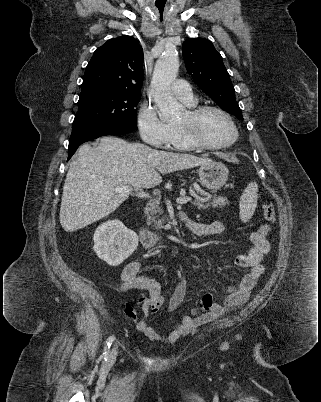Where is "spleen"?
I'll list each match as a JSON object with an SVG mask.
<instances>
[{
  "label": "spleen",
  "mask_w": 321,
  "mask_h": 402,
  "mask_svg": "<svg viewBox=\"0 0 321 402\" xmlns=\"http://www.w3.org/2000/svg\"><path fill=\"white\" fill-rule=\"evenodd\" d=\"M258 185L256 182H251L244 189L239 202V217L242 222H248L257 206Z\"/></svg>",
  "instance_id": "1"
}]
</instances>
